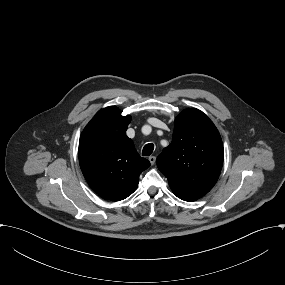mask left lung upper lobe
<instances>
[{"mask_svg":"<svg viewBox=\"0 0 285 285\" xmlns=\"http://www.w3.org/2000/svg\"><path fill=\"white\" fill-rule=\"evenodd\" d=\"M173 193L185 201H196L217 182L223 165L221 136L212 121L191 108L175 119L171 144L156 160Z\"/></svg>","mask_w":285,"mask_h":285,"instance_id":"1","label":"left lung upper lobe"}]
</instances>
